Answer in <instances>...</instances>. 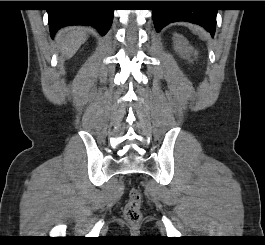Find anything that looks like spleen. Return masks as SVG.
<instances>
[{"instance_id": "obj_1", "label": "spleen", "mask_w": 265, "mask_h": 245, "mask_svg": "<svg viewBox=\"0 0 265 245\" xmlns=\"http://www.w3.org/2000/svg\"><path fill=\"white\" fill-rule=\"evenodd\" d=\"M194 31L201 36L202 39H205V33L199 28H194Z\"/></svg>"}]
</instances>
